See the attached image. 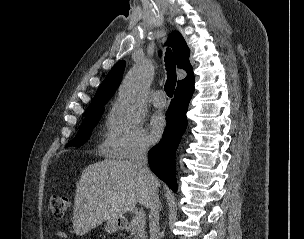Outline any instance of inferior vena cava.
I'll list each match as a JSON object with an SVG mask.
<instances>
[{"mask_svg": "<svg viewBox=\"0 0 304 239\" xmlns=\"http://www.w3.org/2000/svg\"><path fill=\"white\" fill-rule=\"evenodd\" d=\"M147 152L148 145L145 142H139L131 154L130 163L139 171V176L145 180L150 190L148 206L150 239H160L158 180L147 166Z\"/></svg>", "mask_w": 304, "mask_h": 239, "instance_id": "inferior-vena-cava-1", "label": "inferior vena cava"}]
</instances>
